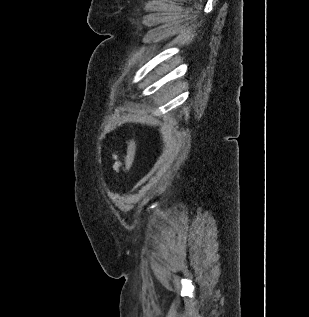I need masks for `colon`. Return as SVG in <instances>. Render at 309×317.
<instances>
[{"label": "colon", "mask_w": 309, "mask_h": 317, "mask_svg": "<svg viewBox=\"0 0 309 317\" xmlns=\"http://www.w3.org/2000/svg\"><path fill=\"white\" fill-rule=\"evenodd\" d=\"M137 144L135 140H131L128 145L125 166L127 170H130L135 159Z\"/></svg>", "instance_id": "colon-1"}]
</instances>
